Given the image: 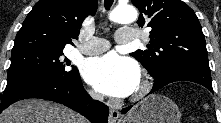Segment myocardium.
Returning <instances> with one entry per match:
<instances>
[{
  "label": "myocardium",
  "mask_w": 221,
  "mask_h": 123,
  "mask_svg": "<svg viewBox=\"0 0 221 123\" xmlns=\"http://www.w3.org/2000/svg\"><path fill=\"white\" fill-rule=\"evenodd\" d=\"M150 88L151 83L148 80H141L132 95V100L137 101L142 99L149 92Z\"/></svg>",
  "instance_id": "obj_1"
}]
</instances>
